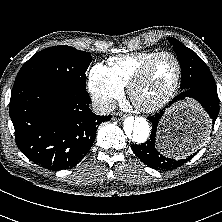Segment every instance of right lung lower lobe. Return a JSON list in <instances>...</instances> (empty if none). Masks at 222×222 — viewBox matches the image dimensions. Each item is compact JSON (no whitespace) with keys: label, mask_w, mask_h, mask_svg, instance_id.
<instances>
[{"label":"right lung lower lobe","mask_w":222,"mask_h":222,"mask_svg":"<svg viewBox=\"0 0 222 222\" xmlns=\"http://www.w3.org/2000/svg\"><path fill=\"white\" fill-rule=\"evenodd\" d=\"M90 101L86 90L56 80H15L9 114L18 148L49 170L78 164L89 152L99 124L111 119L93 113Z\"/></svg>","instance_id":"obj_1"}]
</instances>
